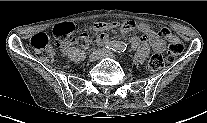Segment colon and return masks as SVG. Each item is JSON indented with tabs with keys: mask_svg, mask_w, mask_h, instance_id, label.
Wrapping results in <instances>:
<instances>
[{
	"mask_svg": "<svg viewBox=\"0 0 207 123\" xmlns=\"http://www.w3.org/2000/svg\"><path fill=\"white\" fill-rule=\"evenodd\" d=\"M54 35L61 42V44H67L75 41L73 36L75 32V26L70 22H63L54 27ZM160 34L168 40V52L166 57L160 54H154L148 62V68L150 71H158L162 69L165 61H171L175 57L181 55L184 51V45L178 37H176L172 31L167 27L160 29ZM30 46L34 51L45 58L47 61L52 62L54 60L53 52L50 46L49 36L46 32H39L33 35L30 39Z\"/></svg>",
	"mask_w": 207,
	"mask_h": 123,
	"instance_id": "1",
	"label": "colon"
}]
</instances>
